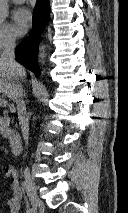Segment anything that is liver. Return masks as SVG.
Here are the masks:
<instances>
[{
    "label": "liver",
    "instance_id": "liver-1",
    "mask_svg": "<svg viewBox=\"0 0 128 213\" xmlns=\"http://www.w3.org/2000/svg\"><path fill=\"white\" fill-rule=\"evenodd\" d=\"M26 76L25 70L22 68L21 79ZM15 84V79L10 73L9 66L0 58V93L10 97V92Z\"/></svg>",
    "mask_w": 128,
    "mask_h": 213
}]
</instances>
